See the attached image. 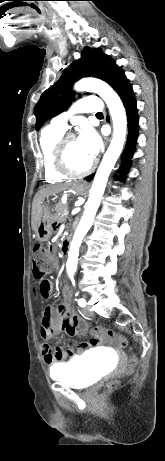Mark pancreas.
Masks as SVG:
<instances>
[{
	"label": "pancreas",
	"instance_id": "1",
	"mask_svg": "<svg viewBox=\"0 0 165 461\" xmlns=\"http://www.w3.org/2000/svg\"><path fill=\"white\" fill-rule=\"evenodd\" d=\"M67 209V205L59 202L55 207V216L54 219L57 222H62L64 220L63 213Z\"/></svg>",
	"mask_w": 165,
	"mask_h": 461
}]
</instances>
